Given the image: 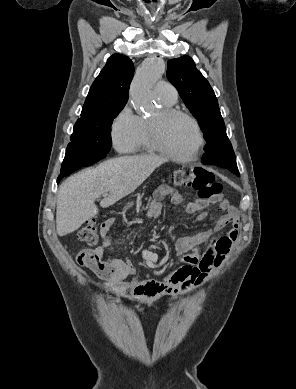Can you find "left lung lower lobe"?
Here are the masks:
<instances>
[{
	"label": "left lung lower lobe",
	"instance_id": "0a47b994",
	"mask_svg": "<svg viewBox=\"0 0 296 389\" xmlns=\"http://www.w3.org/2000/svg\"><path fill=\"white\" fill-rule=\"evenodd\" d=\"M202 163L226 168L239 176L235 154L226 132L221 134L215 143L205 151Z\"/></svg>",
	"mask_w": 296,
	"mask_h": 389
}]
</instances>
